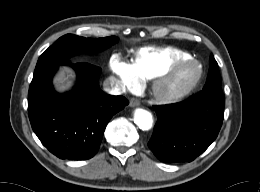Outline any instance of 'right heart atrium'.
Segmentation results:
<instances>
[{
    "label": "right heart atrium",
    "mask_w": 260,
    "mask_h": 192,
    "mask_svg": "<svg viewBox=\"0 0 260 192\" xmlns=\"http://www.w3.org/2000/svg\"><path fill=\"white\" fill-rule=\"evenodd\" d=\"M110 69L124 88L134 89L140 85V78L132 64L113 56L110 59Z\"/></svg>",
    "instance_id": "right-heart-atrium-1"
}]
</instances>
